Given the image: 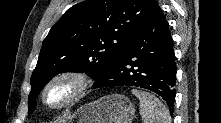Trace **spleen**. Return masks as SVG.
<instances>
[{"instance_id": "obj_1", "label": "spleen", "mask_w": 221, "mask_h": 123, "mask_svg": "<svg viewBox=\"0 0 221 123\" xmlns=\"http://www.w3.org/2000/svg\"><path fill=\"white\" fill-rule=\"evenodd\" d=\"M132 94L140 101L143 123H171L169 110L158 98L137 89H133Z\"/></svg>"}]
</instances>
